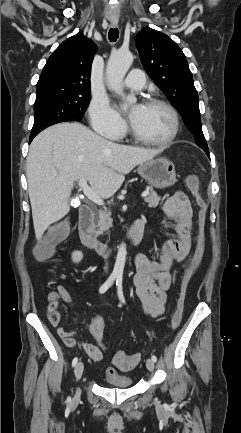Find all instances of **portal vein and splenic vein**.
<instances>
[{
	"label": "portal vein and splenic vein",
	"mask_w": 241,
	"mask_h": 433,
	"mask_svg": "<svg viewBox=\"0 0 241 433\" xmlns=\"http://www.w3.org/2000/svg\"><path fill=\"white\" fill-rule=\"evenodd\" d=\"M79 187L82 189L83 193L85 194V196L92 201L93 203L102 206L104 205V201L101 199V197L96 194V192H94L92 190V188H90L87 184V180L86 179H80L79 180ZM149 195V191L146 190L144 191L141 196L142 197H147Z\"/></svg>",
	"instance_id": "portal-vein-and-splenic-vein-1"
}]
</instances>
